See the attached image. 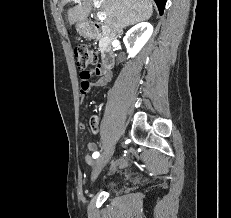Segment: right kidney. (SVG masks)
<instances>
[{"label":"right kidney","mask_w":231,"mask_h":218,"mask_svg":"<svg viewBox=\"0 0 231 218\" xmlns=\"http://www.w3.org/2000/svg\"><path fill=\"white\" fill-rule=\"evenodd\" d=\"M152 33L153 26L148 22L138 23L126 33L123 41L129 57H134L142 49Z\"/></svg>","instance_id":"ca27d5eb"}]
</instances>
